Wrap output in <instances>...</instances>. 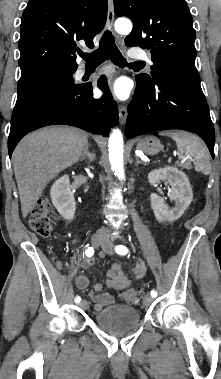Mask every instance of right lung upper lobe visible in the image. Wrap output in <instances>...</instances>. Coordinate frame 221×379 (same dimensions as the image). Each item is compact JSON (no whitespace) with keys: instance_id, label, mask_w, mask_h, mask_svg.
Segmentation results:
<instances>
[{"instance_id":"obj_1","label":"right lung upper lobe","mask_w":221,"mask_h":379,"mask_svg":"<svg viewBox=\"0 0 221 379\" xmlns=\"http://www.w3.org/2000/svg\"><path fill=\"white\" fill-rule=\"evenodd\" d=\"M106 18L107 0H29L20 30L19 82L56 69H77L75 52L81 50L76 41L93 48Z\"/></svg>"}]
</instances>
